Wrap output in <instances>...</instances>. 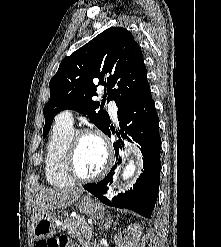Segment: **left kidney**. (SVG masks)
I'll list each match as a JSON object with an SVG mask.
<instances>
[{"label": "left kidney", "mask_w": 221, "mask_h": 247, "mask_svg": "<svg viewBox=\"0 0 221 247\" xmlns=\"http://www.w3.org/2000/svg\"><path fill=\"white\" fill-rule=\"evenodd\" d=\"M142 235V227L139 224L130 225L122 235L115 236L117 247H138Z\"/></svg>", "instance_id": "left-kidney-1"}]
</instances>
